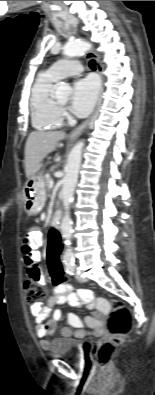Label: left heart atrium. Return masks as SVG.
Returning a JSON list of instances; mask_svg holds the SVG:
<instances>
[{"mask_svg": "<svg viewBox=\"0 0 155 395\" xmlns=\"http://www.w3.org/2000/svg\"><path fill=\"white\" fill-rule=\"evenodd\" d=\"M98 89V82L92 76L77 80L72 91L71 111L78 117L88 115L95 104Z\"/></svg>", "mask_w": 155, "mask_h": 395, "instance_id": "left-heart-atrium-1", "label": "left heart atrium"}]
</instances>
